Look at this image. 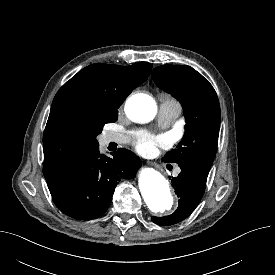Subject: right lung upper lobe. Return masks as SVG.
<instances>
[{"instance_id": "cb5924a9", "label": "right lung upper lobe", "mask_w": 275, "mask_h": 275, "mask_svg": "<svg viewBox=\"0 0 275 275\" xmlns=\"http://www.w3.org/2000/svg\"><path fill=\"white\" fill-rule=\"evenodd\" d=\"M151 68L147 62L128 67L96 63L82 69L59 89L43 135L46 181L78 156L98 147L95 122L118 113L132 90L147 80Z\"/></svg>"}]
</instances>
